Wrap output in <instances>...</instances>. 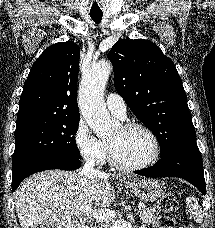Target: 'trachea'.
I'll use <instances>...</instances> for the list:
<instances>
[{
  "instance_id": "3493384b",
  "label": "trachea",
  "mask_w": 215,
  "mask_h": 228,
  "mask_svg": "<svg viewBox=\"0 0 215 228\" xmlns=\"http://www.w3.org/2000/svg\"><path fill=\"white\" fill-rule=\"evenodd\" d=\"M102 16H103V14H99V13L98 14H90V17L92 18V20L97 24H99L101 22Z\"/></svg>"
}]
</instances>
